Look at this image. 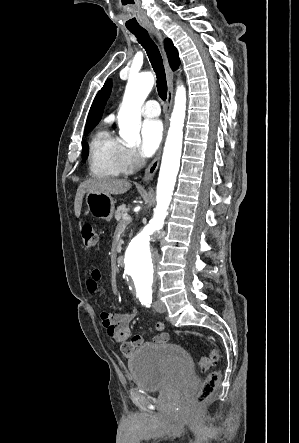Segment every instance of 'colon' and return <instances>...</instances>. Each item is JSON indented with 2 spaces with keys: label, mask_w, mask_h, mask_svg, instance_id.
I'll list each match as a JSON object with an SVG mask.
<instances>
[{
  "label": "colon",
  "mask_w": 299,
  "mask_h": 443,
  "mask_svg": "<svg viewBox=\"0 0 299 443\" xmlns=\"http://www.w3.org/2000/svg\"><path fill=\"white\" fill-rule=\"evenodd\" d=\"M81 238L83 245L86 248H94L98 243V235L94 227L90 223H84L81 227ZM219 351L212 349L208 356H202L199 358L198 365L203 371L208 370L213 364L219 360ZM221 382V373L219 371H213L208 374L201 389L195 397L196 405H203L208 402L215 394L217 388Z\"/></svg>",
  "instance_id": "colon-1"
}]
</instances>
